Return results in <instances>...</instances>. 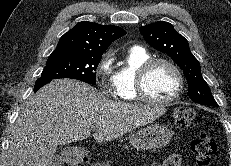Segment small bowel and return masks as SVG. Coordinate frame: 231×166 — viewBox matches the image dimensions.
Returning a JSON list of instances; mask_svg holds the SVG:
<instances>
[{
	"mask_svg": "<svg viewBox=\"0 0 231 166\" xmlns=\"http://www.w3.org/2000/svg\"><path fill=\"white\" fill-rule=\"evenodd\" d=\"M151 166H160V164H153V165H151Z\"/></svg>",
	"mask_w": 231,
	"mask_h": 166,
	"instance_id": "small-bowel-1",
	"label": "small bowel"
}]
</instances>
